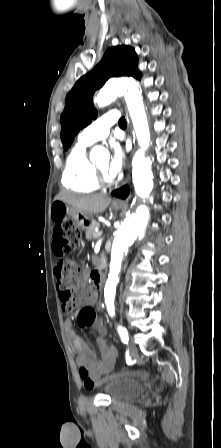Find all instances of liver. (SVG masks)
<instances>
[{"mask_svg": "<svg viewBox=\"0 0 221 448\" xmlns=\"http://www.w3.org/2000/svg\"><path fill=\"white\" fill-rule=\"evenodd\" d=\"M55 200L61 201L86 214L102 213L111 203V198L104 194L77 196L71 193L61 192L55 197Z\"/></svg>", "mask_w": 221, "mask_h": 448, "instance_id": "6515ba94", "label": "liver"}]
</instances>
